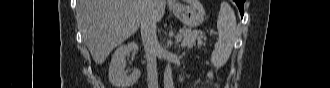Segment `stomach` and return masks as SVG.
Listing matches in <instances>:
<instances>
[{"label":"stomach","instance_id":"obj_1","mask_svg":"<svg viewBox=\"0 0 330 88\" xmlns=\"http://www.w3.org/2000/svg\"><path fill=\"white\" fill-rule=\"evenodd\" d=\"M172 11L189 28L198 27L204 21L205 10L198 0L189 1L187 5L178 4Z\"/></svg>","mask_w":330,"mask_h":88}]
</instances>
